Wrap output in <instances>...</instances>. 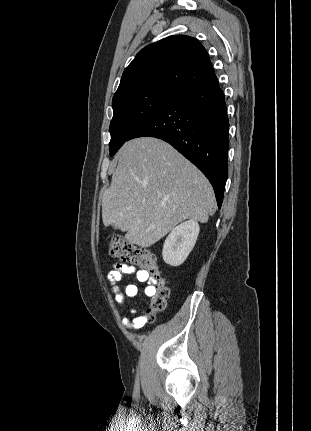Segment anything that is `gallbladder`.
<instances>
[{
  "label": "gallbladder",
  "instance_id": "bac80fb5",
  "mask_svg": "<svg viewBox=\"0 0 311 431\" xmlns=\"http://www.w3.org/2000/svg\"><path fill=\"white\" fill-rule=\"evenodd\" d=\"M113 229H118L117 225H112Z\"/></svg>",
  "mask_w": 311,
  "mask_h": 431
}]
</instances>
